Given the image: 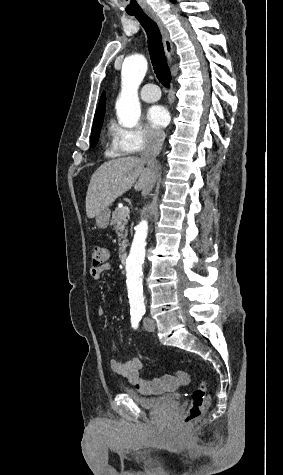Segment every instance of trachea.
Listing matches in <instances>:
<instances>
[{
  "mask_svg": "<svg viewBox=\"0 0 283 475\" xmlns=\"http://www.w3.org/2000/svg\"><path fill=\"white\" fill-rule=\"evenodd\" d=\"M128 15L134 16L144 28L148 38L147 43L150 60L156 77L164 87L170 88L172 76L165 56L162 36L157 23L143 11L128 13Z\"/></svg>",
  "mask_w": 283,
  "mask_h": 475,
  "instance_id": "1",
  "label": "trachea"
}]
</instances>
